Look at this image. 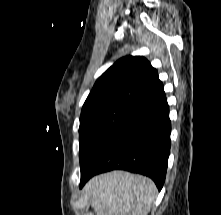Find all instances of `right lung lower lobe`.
Listing matches in <instances>:
<instances>
[{"label":"right lung lower lobe","mask_w":221,"mask_h":215,"mask_svg":"<svg viewBox=\"0 0 221 215\" xmlns=\"http://www.w3.org/2000/svg\"><path fill=\"white\" fill-rule=\"evenodd\" d=\"M171 122L165 93L133 110L107 138L87 169L80 188L95 174L114 169L150 177L161 190L170 153Z\"/></svg>","instance_id":"right-lung-lower-lobe-1"}]
</instances>
